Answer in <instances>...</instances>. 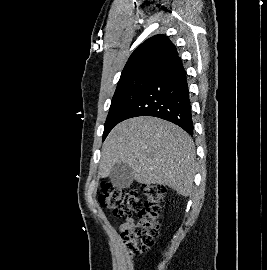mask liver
Returning <instances> with one entry per match:
<instances>
[{
  "label": "liver",
  "instance_id": "1",
  "mask_svg": "<svg viewBox=\"0 0 267 270\" xmlns=\"http://www.w3.org/2000/svg\"><path fill=\"white\" fill-rule=\"evenodd\" d=\"M117 163L129 165L138 183L168 186L185 197L192 192L193 140L168 121L141 116L115 126L103 143L98 175L108 177Z\"/></svg>",
  "mask_w": 267,
  "mask_h": 270
}]
</instances>
